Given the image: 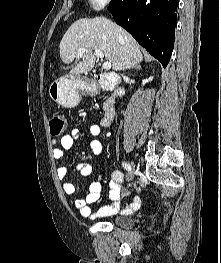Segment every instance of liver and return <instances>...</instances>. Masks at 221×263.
I'll return each instance as SVG.
<instances>
[{"label": "liver", "mask_w": 221, "mask_h": 263, "mask_svg": "<svg viewBox=\"0 0 221 263\" xmlns=\"http://www.w3.org/2000/svg\"><path fill=\"white\" fill-rule=\"evenodd\" d=\"M80 48L88 51L71 74L88 73L93 69L96 62L94 49L103 52L114 71L131 68L143 60L135 39L122 27L101 16L79 19L68 28L60 42L61 60L66 64L73 62Z\"/></svg>", "instance_id": "obj_1"}]
</instances>
